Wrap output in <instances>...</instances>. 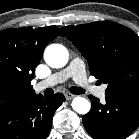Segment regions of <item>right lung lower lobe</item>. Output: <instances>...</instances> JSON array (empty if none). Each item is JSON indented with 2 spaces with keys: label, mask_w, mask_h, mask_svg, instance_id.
I'll list each match as a JSON object with an SVG mask.
<instances>
[{
  "label": "right lung lower lobe",
  "mask_w": 139,
  "mask_h": 139,
  "mask_svg": "<svg viewBox=\"0 0 139 139\" xmlns=\"http://www.w3.org/2000/svg\"><path fill=\"white\" fill-rule=\"evenodd\" d=\"M65 101L61 93L42 95L0 109V139H46L56 109Z\"/></svg>",
  "instance_id": "right-lung-lower-lobe-1"
}]
</instances>
